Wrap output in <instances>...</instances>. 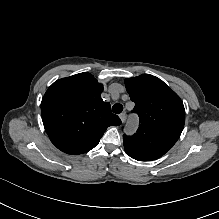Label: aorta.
<instances>
[{
  "instance_id": "aorta-1",
  "label": "aorta",
  "mask_w": 219,
  "mask_h": 219,
  "mask_svg": "<svg viewBox=\"0 0 219 219\" xmlns=\"http://www.w3.org/2000/svg\"><path fill=\"white\" fill-rule=\"evenodd\" d=\"M137 128V120L133 119L129 122L128 126L126 127V133L132 134Z\"/></svg>"
}]
</instances>
